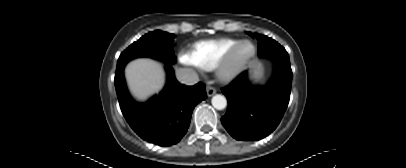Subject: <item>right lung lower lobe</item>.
<instances>
[{
    "label": "right lung lower lobe",
    "mask_w": 406,
    "mask_h": 168,
    "mask_svg": "<svg viewBox=\"0 0 406 168\" xmlns=\"http://www.w3.org/2000/svg\"><path fill=\"white\" fill-rule=\"evenodd\" d=\"M167 83L164 89L145 103H138L128 93L124 67L117 68L114 84L121 111L131 128L143 139L160 146H171L181 140L189 128L195 106L206 99L204 84L184 86L166 63Z\"/></svg>",
    "instance_id": "right-lung-lower-lobe-1"
}]
</instances>
